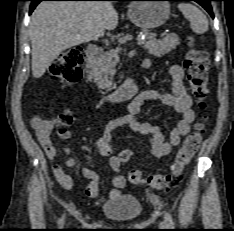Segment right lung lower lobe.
<instances>
[{
  "instance_id": "obj_1",
  "label": "right lung lower lobe",
  "mask_w": 234,
  "mask_h": 231,
  "mask_svg": "<svg viewBox=\"0 0 234 231\" xmlns=\"http://www.w3.org/2000/svg\"><path fill=\"white\" fill-rule=\"evenodd\" d=\"M29 1H31L30 11H29V13L31 14L32 11L37 6V4H39L41 1H88V0H29ZM113 1H121V0H113Z\"/></svg>"
}]
</instances>
